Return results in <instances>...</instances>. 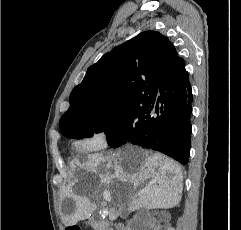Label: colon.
Listing matches in <instances>:
<instances>
[{"label":"colon","mask_w":241,"mask_h":230,"mask_svg":"<svg viewBox=\"0 0 241 230\" xmlns=\"http://www.w3.org/2000/svg\"><path fill=\"white\" fill-rule=\"evenodd\" d=\"M67 230H80V228L78 226H72L67 228Z\"/></svg>","instance_id":"1"}]
</instances>
